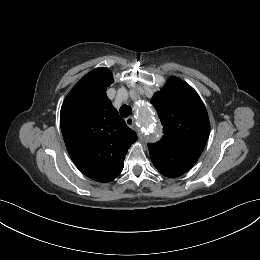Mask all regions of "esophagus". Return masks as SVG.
<instances>
[{
  "label": "esophagus",
  "mask_w": 260,
  "mask_h": 260,
  "mask_svg": "<svg viewBox=\"0 0 260 260\" xmlns=\"http://www.w3.org/2000/svg\"><path fill=\"white\" fill-rule=\"evenodd\" d=\"M126 124L130 127V128H134L135 127V120L132 117H128L127 119H125Z\"/></svg>",
  "instance_id": "obj_1"
}]
</instances>
